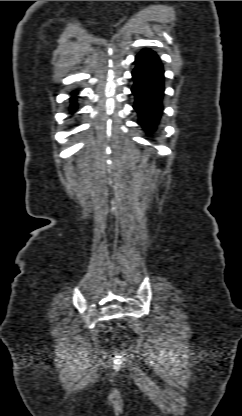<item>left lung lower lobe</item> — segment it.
Returning a JSON list of instances; mask_svg holds the SVG:
<instances>
[{"label":"left lung lower lobe","mask_w":242,"mask_h":416,"mask_svg":"<svg viewBox=\"0 0 242 416\" xmlns=\"http://www.w3.org/2000/svg\"><path fill=\"white\" fill-rule=\"evenodd\" d=\"M135 63L131 89L135 96L133 108L138 114L137 123L151 134L157 130L163 113L164 70L159 57L150 49H143Z\"/></svg>","instance_id":"left-lung-lower-lobe-1"}]
</instances>
